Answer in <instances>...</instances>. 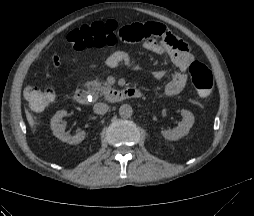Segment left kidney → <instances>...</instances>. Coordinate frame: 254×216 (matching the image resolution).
Wrapping results in <instances>:
<instances>
[{"mask_svg":"<svg viewBox=\"0 0 254 216\" xmlns=\"http://www.w3.org/2000/svg\"><path fill=\"white\" fill-rule=\"evenodd\" d=\"M182 121L173 130H164L162 135L165 139L175 141L186 136L194 124V115L188 110H181Z\"/></svg>","mask_w":254,"mask_h":216,"instance_id":"left-kidney-1","label":"left kidney"}]
</instances>
